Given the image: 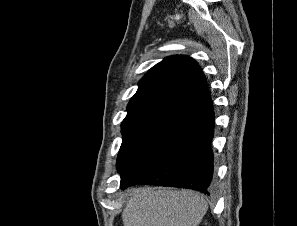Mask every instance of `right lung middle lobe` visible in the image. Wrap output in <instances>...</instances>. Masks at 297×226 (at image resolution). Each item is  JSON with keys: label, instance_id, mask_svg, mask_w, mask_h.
<instances>
[{"label": "right lung middle lobe", "instance_id": "dd1d6c3e", "mask_svg": "<svg viewBox=\"0 0 297 226\" xmlns=\"http://www.w3.org/2000/svg\"><path fill=\"white\" fill-rule=\"evenodd\" d=\"M168 118L145 117L122 122L123 141L117 158V170L124 177L138 162Z\"/></svg>", "mask_w": 297, "mask_h": 226}]
</instances>
